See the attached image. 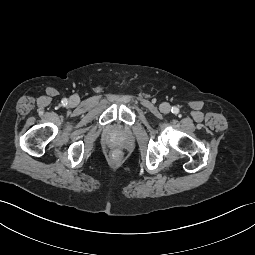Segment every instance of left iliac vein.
<instances>
[{"mask_svg": "<svg viewBox=\"0 0 255 255\" xmlns=\"http://www.w3.org/2000/svg\"><path fill=\"white\" fill-rule=\"evenodd\" d=\"M160 111H161L162 113H164V114L169 113V112L171 111V106H170V104H169V103H166V102L162 103V104L160 105Z\"/></svg>", "mask_w": 255, "mask_h": 255, "instance_id": "obj_1", "label": "left iliac vein"}]
</instances>
